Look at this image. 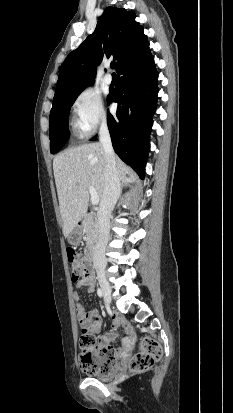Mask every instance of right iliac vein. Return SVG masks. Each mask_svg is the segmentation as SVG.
<instances>
[{
	"label": "right iliac vein",
	"instance_id": "right-iliac-vein-1",
	"mask_svg": "<svg viewBox=\"0 0 233 413\" xmlns=\"http://www.w3.org/2000/svg\"><path fill=\"white\" fill-rule=\"evenodd\" d=\"M99 283L101 286V290L103 293V296L105 298V301L109 304L111 302V288L108 283V281L104 277L99 278Z\"/></svg>",
	"mask_w": 233,
	"mask_h": 413
}]
</instances>
